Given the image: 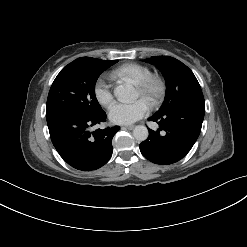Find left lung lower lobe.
<instances>
[{
    "label": "left lung lower lobe",
    "instance_id": "0a47b994",
    "mask_svg": "<svg viewBox=\"0 0 247 247\" xmlns=\"http://www.w3.org/2000/svg\"><path fill=\"white\" fill-rule=\"evenodd\" d=\"M204 113L203 107L188 106L150 117L148 120L157 122L159 129H149V137L140 143L143 156L161 165L182 159L200 134Z\"/></svg>",
    "mask_w": 247,
    "mask_h": 247
}]
</instances>
